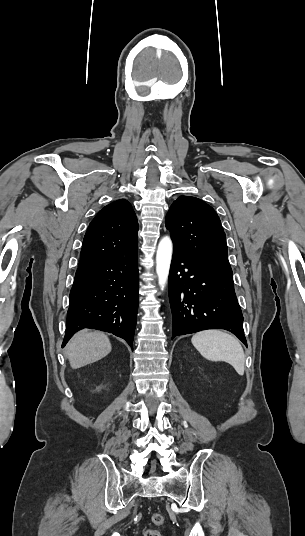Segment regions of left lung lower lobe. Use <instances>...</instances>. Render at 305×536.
Listing matches in <instances>:
<instances>
[{"label":"left lung lower lobe","instance_id":"1","mask_svg":"<svg viewBox=\"0 0 305 536\" xmlns=\"http://www.w3.org/2000/svg\"><path fill=\"white\" fill-rule=\"evenodd\" d=\"M169 299L172 338L206 329H225L247 346L230 266L193 258L174 249Z\"/></svg>","mask_w":305,"mask_h":536}]
</instances>
